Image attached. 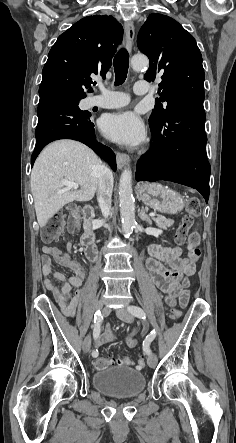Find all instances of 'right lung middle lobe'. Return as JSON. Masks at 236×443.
<instances>
[{
  "label": "right lung middle lobe",
  "instance_id": "1",
  "mask_svg": "<svg viewBox=\"0 0 236 443\" xmlns=\"http://www.w3.org/2000/svg\"><path fill=\"white\" fill-rule=\"evenodd\" d=\"M64 96L76 101L77 103H79V100L85 97V96H73V95H64Z\"/></svg>",
  "mask_w": 236,
  "mask_h": 443
}]
</instances>
